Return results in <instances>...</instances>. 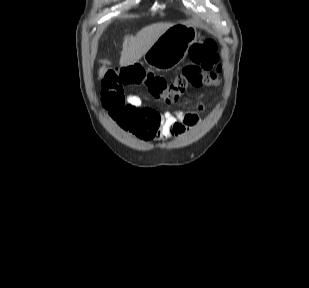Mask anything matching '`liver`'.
Wrapping results in <instances>:
<instances>
[{"label": "liver", "mask_w": 309, "mask_h": 288, "mask_svg": "<svg viewBox=\"0 0 309 288\" xmlns=\"http://www.w3.org/2000/svg\"><path fill=\"white\" fill-rule=\"evenodd\" d=\"M174 24L162 22L155 23L143 28L136 36H128L124 38L123 49L119 64L121 67L136 63L153 45V43L170 27ZM99 69V78H103L107 72L106 64Z\"/></svg>", "instance_id": "1"}]
</instances>
